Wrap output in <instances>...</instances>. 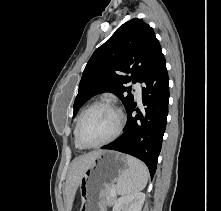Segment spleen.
Returning <instances> with one entry per match:
<instances>
[{
    "mask_svg": "<svg viewBox=\"0 0 221 211\" xmlns=\"http://www.w3.org/2000/svg\"><path fill=\"white\" fill-rule=\"evenodd\" d=\"M128 170L119 176L117 182V193L119 195L136 194L143 190L147 184L149 171L140 160L126 156Z\"/></svg>",
    "mask_w": 221,
    "mask_h": 211,
    "instance_id": "spleen-1",
    "label": "spleen"
}]
</instances>
